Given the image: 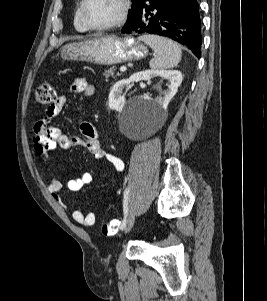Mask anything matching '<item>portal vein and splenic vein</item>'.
<instances>
[{
    "mask_svg": "<svg viewBox=\"0 0 267 301\" xmlns=\"http://www.w3.org/2000/svg\"><path fill=\"white\" fill-rule=\"evenodd\" d=\"M127 68L125 66L120 67V72H125Z\"/></svg>",
    "mask_w": 267,
    "mask_h": 301,
    "instance_id": "obj_1",
    "label": "portal vein and splenic vein"
}]
</instances>
